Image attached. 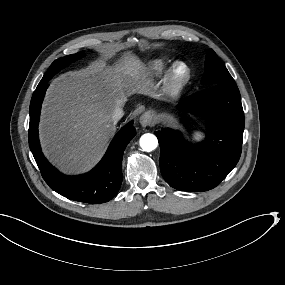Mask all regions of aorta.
Instances as JSON below:
<instances>
[{
  "mask_svg": "<svg viewBox=\"0 0 285 285\" xmlns=\"http://www.w3.org/2000/svg\"><path fill=\"white\" fill-rule=\"evenodd\" d=\"M140 146L144 151L150 152L157 148L158 140L155 135L146 133L140 138Z\"/></svg>",
  "mask_w": 285,
  "mask_h": 285,
  "instance_id": "1",
  "label": "aorta"
}]
</instances>
